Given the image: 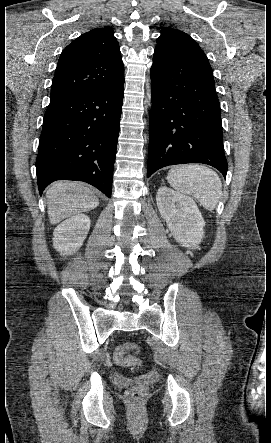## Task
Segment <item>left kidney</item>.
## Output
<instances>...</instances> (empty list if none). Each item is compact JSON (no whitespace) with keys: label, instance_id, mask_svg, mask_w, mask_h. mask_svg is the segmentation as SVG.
Wrapping results in <instances>:
<instances>
[{"label":"left kidney","instance_id":"left-kidney-1","mask_svg":"<svg viewBox=\"0 0 271 443\" xmlns=\"http://www.w3.org/2000/svg\"><path fill=\"white\" fill-rule=\"evenodd\" d=\"M156 202L161 218L166 220L176 241L188 249H199L198 245L204 237L205 222L194 200L161 186Z\"/></svg>","mask_w":271,"mask_h":443}]
</instances>
